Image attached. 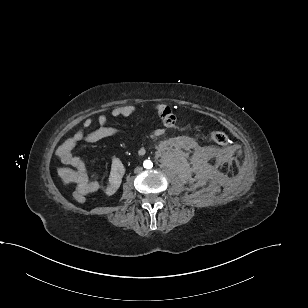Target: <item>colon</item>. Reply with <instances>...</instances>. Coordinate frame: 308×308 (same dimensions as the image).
<instances>
[{
  "mask_svg": "<svg viewBox=\"0 0 308 308\" xmlns=\"http://www.w3.org/2000/svg\"><path fill=\"white\" fill-rule=\"evenodd\" d=\"M160 117L166 125H172L175 121L174 114L172 113V111L169 108L163 110L160 113ZM210 138L213 142H215L219 145L228 144L227 135L225 133L221 132V131H212L210 133ZM87 195L88 194L85 191H83L79 188H76L74 193H73V197L79 203H84L86 201Z\"/></svg>",
  "mask_w": 308,
  "mask_h": 308,
  "instance_id": "5ec220e1",
  "label": "colon"
}]
</instances>
